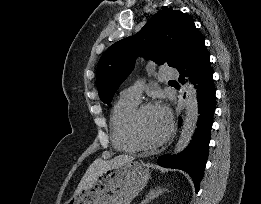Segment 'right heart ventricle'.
I'll return each instance as SVG.
<instances>
[{
  "label": "right heart ventricle",
  "instance_id": "1",
  "mask_svg": "<svg viewBox=\"0 0 261 204\" xmlns=\"http://www.w3.org/2000/svg\"><path fill=\"white\" fill-rule=\"evenodd\" d=\"M138 101L120 98L113 106L110 114V134L114 148L120 152L134 153L140 148L132 141L127 131V122L138 106Z\"/></svg>",
  "mask_w": 261,
  "mask_h": 204
}]
</instances>
